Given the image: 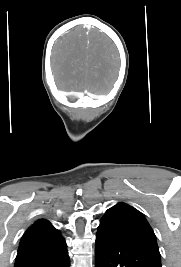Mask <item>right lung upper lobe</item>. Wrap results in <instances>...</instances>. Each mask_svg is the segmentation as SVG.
<instances>
[{
  "instance_id": "right-lung-upper-lobe-1",
  "label": "right lung upper lobe",
  "mask_w": 181,
  "mask_h": 267,
  "mask_svg": "<svg viewBox=\"0 0 181 267\" xmlns=\"http://www.w3.org/2000/svg\"><path fill=\"white\" fill-rule=\"evenodd\" d=\"M66 247L65 240L50 222L37 220L24 233L18 253L23 252H53Z\"/></svg>"
}]
</instances>
